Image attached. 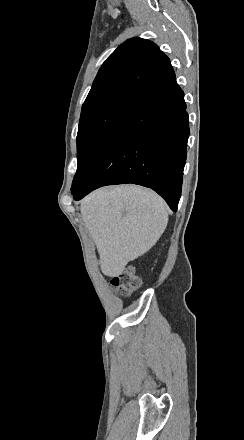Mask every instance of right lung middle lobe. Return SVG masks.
<instances>
[{
	"mask_svg": "<svg viewBox=\"0 0 244 440\" xmlns=\"http://www.w3.org/2000/svg\"><path fill=\"white\" fill-rule=\"evenodd\" d=\"M139 99L130 95H118L109 100L83 104L77 134L78 166L72 185L82 176L96 151L116 124Z\"/></svg>",
	"mask_w": 244,
	"mask_h": 440,
	"instance_id": "dd1d6c3e",
	"label": "right lung middle lobe"
}]
</instances>
